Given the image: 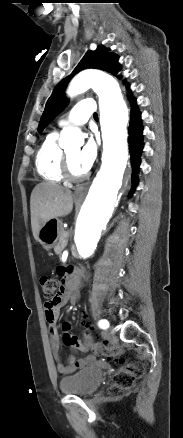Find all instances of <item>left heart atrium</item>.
I'll use <instances>...</instances> for the list:
<instances>
[{
  "label": "left heart atrium",
  "instance_id": "39dd6f15",
  "mask_svg": "<svg viewBox=\"0 0 183 438\" xmlns=\"http://www.w3.org/2000/svg\"><path fill=\"white\" fill-rule=\"evenodd\" d=\"M98 151V144L94 138H89L78 155V164L87 172L93 165Z\"/></svg>",
  "mask_w": 183,
  "mask_h": 438
}]
</instances>
